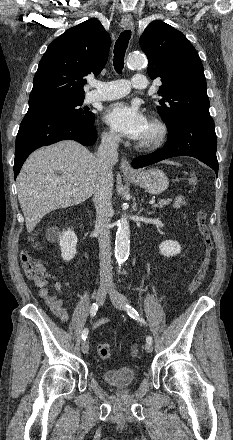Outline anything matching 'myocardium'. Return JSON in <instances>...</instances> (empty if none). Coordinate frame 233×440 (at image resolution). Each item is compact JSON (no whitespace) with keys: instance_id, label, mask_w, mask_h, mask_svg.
<instances>
[{"instance_id":"obj_1","label":"myocardium","mask_w":233,"mask_h":440,"mask_svg":"<svg viewBox=\"0 0 233 440\" xmlns=\"http://www.w3.org/2000/svg\"><path fill=\"white\" fill-rule=\"evenodd\" d=\"M149 125L155 130V134L150 139H140L137 147L144 151H153L163 145L168 136V127L166 123L159 117L152 116L149 120Z\"/></svg>"}]
</instances>
